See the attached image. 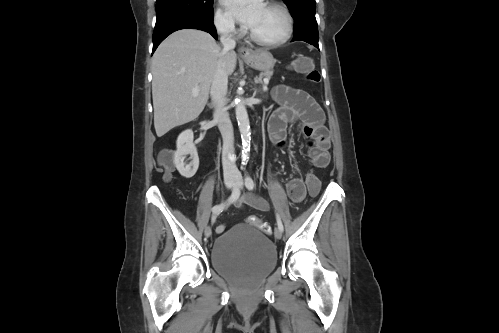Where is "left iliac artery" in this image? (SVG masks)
<instances>
[{"label":"left iliac artery","instance_id":"obj_1","mask_svg":"<svg viewBox=\"0 0 499 333\" xmlns=\"http://www.w3.org/2000/svg\"><path fill=\"white\" fill-rule=\"evenodd\" d=\"M245 186L249 190H253L254 187H255V183H254L253 179L249 175H246V177H245ZM276 220H277L278 228L283 232L284 227H283L281 218H280V216H279L278 213H276Z\"/></svg>","mask_w":499,"mask_h":333}]
</instances>
